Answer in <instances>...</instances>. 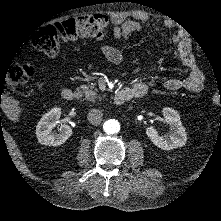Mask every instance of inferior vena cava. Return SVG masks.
Returning a JSON list of instances; mask_svg holds the SVG:
<instances>
[{
    "label": "inferior vena cava",
    "mask_w": 221,
    "mask_h": 221,
    "mask_svg": "<svg viewBox=\"0 0 221 221\" xmlns=\"http://www.w3.org/2000/svg\"><path fill=\"white\" fill-rule=\"evenodd\" d=\"M103 113L99 109H91L87 115L89 123L92 125H99L102 121Z\"/></svg>",
    "instance_id": "inferior-vena-cava-1"
}]
</instances>
